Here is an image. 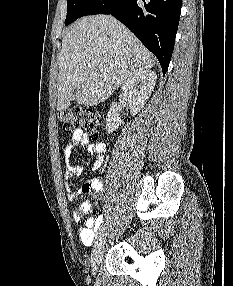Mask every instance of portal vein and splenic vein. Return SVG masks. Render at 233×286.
<instances>
[{"label":"portal vein and splenic vein","mask_w":233,"mask_h":286,"mask_svg":"<svg viewBox=\"0 0 233 286\" xmlns=\"http://www.w3.org/2000/svg\"><path fill=\"white\" fill-rule=\"evenodd\" d=\"M99 68H100V69H103V65H100Z\"/></svg>","instance_id":"18ae733b"}]
</instances>
